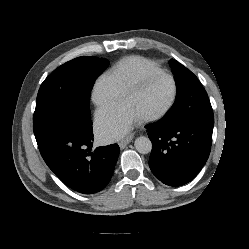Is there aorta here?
<instances>
[{
  "label": "aorta",
  "instance_id": "1",
  "mask_svg": "<svg viewBox=\"0 0 249 249\" xmlns=\"http://www.w3.org/2000/svg\"><path fill=\"white\" fill-rule=\"evenodd\" d=\"M135 148L141 154H148L152 150V142L148 137L140 136L135 140Z\"/></svg>",
  "mask_w": 249,
  "mask_h": 249
}]
</instances>
